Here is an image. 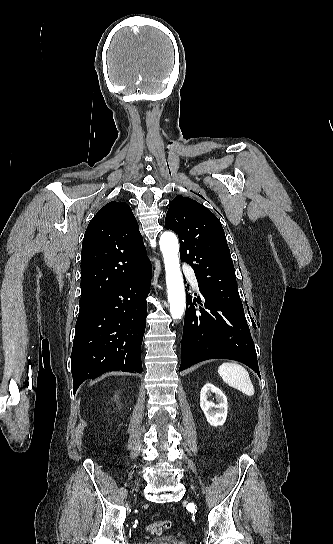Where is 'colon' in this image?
I'll return each mask as SVG.
<instances>
[{"label":"colon","instance_id":"1","mask_svg":"<svg viewBox=\"0 0 333 544\" xmlns=\"http://www.w3.org/2000/svg\"><path fill=\"white\" fill-rule=\"evenodd\" d=\"M171 522L168 520L153 521L146 526V531L150 534L157 535L163 530L169 529Z\"/></svg>","mask_w":333,"mask_h":544}]
</instances>
